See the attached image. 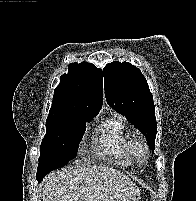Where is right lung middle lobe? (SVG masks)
<instances>
[{
    "mask_svg": "<svg viewBox=\"0 0 196 201\" xmlns=\"http://www.w3.org/2000/svg\"><path fill=\"white\" fill-rule=\"evenodd\" d=\"M94 116L83 112H68L46 120V135L40 146L36 178L66 165L76 157L85 132V122Z\"/></svg>",
    "mask_w": 196,
    "mask_h": 201,
    "instance_id": "dd1d6c3e",
    "label": "right lung middle lobe"
}]
</instances>
